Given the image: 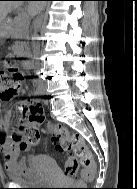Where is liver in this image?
Segmentation results:
<instances>
[{
    "label": "liver",
    "instance_id": "obj_1",
    "mask_svg": "<svg viewBox=\"0 0 137 189\" xmlns=\"http://www.w3.org/2000/svg\"><path fill=\"white\" fill-rule=\"evenodd\" d=\"M21 3V1H0V24L6 18L8 13H10L13 9L18 8L21 5ZM43 6L44 4L30 2L29 9H35L33 13H36L37 10L41 9Z\"/></svg>",
    "mask_w": 137,
    "mask_h": 189
}]
</instances>
